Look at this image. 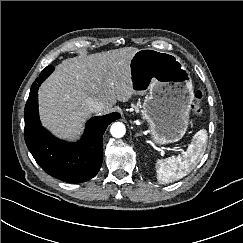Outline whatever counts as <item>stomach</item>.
Wrapping results in <instances>:
<instances>
[{"instance_id":"stomach-1","label":"stomach","mask_w":243,"mask_h":243,"mask_svg":"<svg viewBox=\"0 0 243 243\" xmlns=\"http://www.w3.org/2000/svg\"><path fill=\"white\" fill-rule=\"evenodd\" d=\"M133 92L146 94L143 115L155 144L179 141L189 124L194 99L189 72L173 53L138 50L130 61Z\"/></svg>"}]
</instances>
